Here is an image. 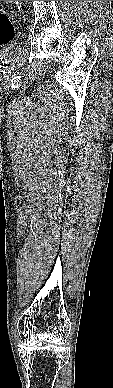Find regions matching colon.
I'll return each instance as SVG.
<instances>
[{
	"instance_id": "1",
	"label": "colon",
	"mask_w": 113,
	"mask_h": 388,
	"mask_svg": "<svg viewBox=\"0 0 113 388\" xmlns=\"http://www.w3.org/2000/svg\"><path fill=\"white\" fill-rule=\"evenodd\" d=\"M14 36L15 30L11 16L5 11H0V47L9 44Z\"/></svg>"
}]
</instances>
